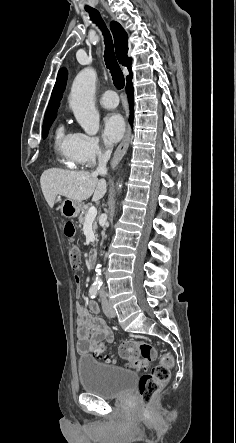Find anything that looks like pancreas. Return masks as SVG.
Here are the masks:
<instances>
[{
  "label": "pancreas",
  "mask_w": 236,
  "mask_h": 443,
  "mask_svg": "<svg viewBox=\"0 0 236 443\" xmlns=\"http://www.w3.org/2000/svg\"><path fill=\"white\" fill-rule=\"evenodd\" d=\"M87 213H88V209L84 208L82 210L79 218H78L80 224H84L85 223ZM97 228H98L97 222L95 221V222H93V231H94V233H96Z\"/></svg>",
  "instance_id": "cf45deb5"
}]
</instances>
